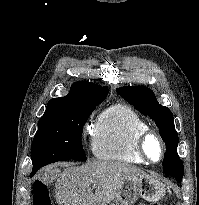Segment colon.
Segmentation results:
<instances>
[{"label": "colon", "mask_w": 199, "mask_h": 205, "mask_svg": "<svg viewBox=\"0 0 199 205\" xmlns=\"http://www.w3.org/2000/svg\"><path fill=\"white\" fill-rule=\"evenodd\" d=\"M33 205H51L48 188L45 185H35Z\"/></svg>", "instance_id": "5ec220e1"}]
</instances>
